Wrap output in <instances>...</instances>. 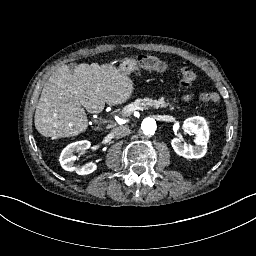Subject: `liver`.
<instances>
[{"mask_svg":"<svg viewBox=\"0 0 256 256\" xmlns=\"http://www.w3.org/2000/svg\"><path fill=\"white\" fill-rule=\"evenodd\" d=\"M132 91L133 82L122 67L82 63L72 72L68 65H62L44 84L35 111V127L45 137L77 136L88 127L84 108L98 114L105 104L125 103Z\"/></svg>","mask_w":256,"mask_h":256,"instance_id":"obj_1","label":"liver"}]
</instances>
